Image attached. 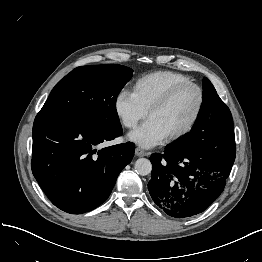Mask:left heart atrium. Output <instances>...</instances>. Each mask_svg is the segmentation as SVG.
<instances>
[{
	"label": "left heart atrium",
	"instance_id": "left-heart-atrium-1",
	"mask_svg": "<svg viewBox=\"0 0 262 262\" xmlns=\"http://www.w3.org/2000/svg\"><path fill=\"white\" fill-rule=\"evenodd\" d=\"M128 138L144 148H151L162 143L166 138V133L151 118L128 134Z\"/></svg>",
	"mask_w": 262,
	"mask_h": 262
}]
</instances>
